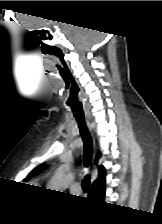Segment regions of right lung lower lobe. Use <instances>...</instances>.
<instances>
[{
    "mask_svg": "<svg viewBox=\"0 0 162 224\" xmlns=\"http://www.w3.org/2000/svg\"><path fill=\"white\" fill-rule=\"evenodd\" d=\"M104 196H105V190L96 195L95 198L102 201L104 199Z\"/></svg>",
    "mask_w": 162,
    "mask_h": 224,
    "instance_id": "98d812e1",
    "label": "right lung lower lobe"
}]
</instances>
